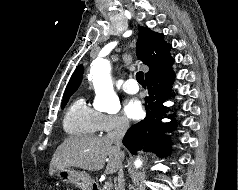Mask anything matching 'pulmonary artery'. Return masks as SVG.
Masks as SVG:
<instances>
[{"mask_svg": "<svg viewBox=\"0 0 238 190\" xmlns=\"http://www.w3.org/2000/svg\"><path fill=\"white\" fill-rule=\"evenodd\" d=\"M122 89L129 94H135L139 91V87L134 79L126 80L122 85Z\"/></svg>", "mask_w": 238, "mask_h": 190, "instance_id": "obj_1", "label": "pulmonary artery"}]
</instances>
